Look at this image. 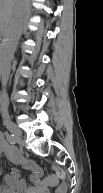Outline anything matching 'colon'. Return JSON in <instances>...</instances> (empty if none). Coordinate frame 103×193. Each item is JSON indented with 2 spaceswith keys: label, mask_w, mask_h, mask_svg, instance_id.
<instances>
[{
  "label": "colon",
  "mask_w": 103,
  "mask_h": 193,
  "mask_svg": "<svg viewBox=\"0 0 103 193\" xmlns=\"http://www.w3.org/2000/svg\"><path fill=\"white\" fill-rule=\"evenodd\" d=\"M56 173L60 178H64V172L61 169H56Z\"/></svg>",
  "instance_id": "1"
}]
</instances>
